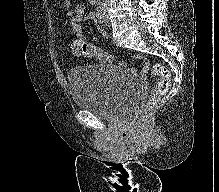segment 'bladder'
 I'll return each mask as SVG.
<instances>
[{
    "label": "bladder",
    "instance_id": "31cf9c89",
    "mask_svg": "<svg viewBox=\"0 0 219 192\" xmlns=\"http://www.w3.org/2000/svg\"><path fill=\"white\" fill-rule=\"evenodd\" d=\"M68 85L75 107L107 122L131 119L144 100V88L127 70L115 64L73 68L68 72Z\"/></svg>",
    "mask_w": 219,
    "mask_h": 192
}]
</instances>
